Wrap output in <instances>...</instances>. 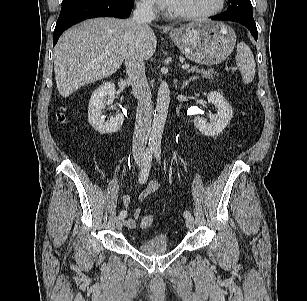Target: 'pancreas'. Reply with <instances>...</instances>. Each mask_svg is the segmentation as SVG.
<instances>
[{
	"instance_id": "cf45deb5",
	"label": "pancreas",
	"mask_w": 307,
	"mask_h": 301,
	"mask_svg": "<svg viewBox=\"0 0 307 301\" xmlns=\"http://www.w3.org/2000/svg\"><path fill=\"white\" fill-rule=\"evenodd\" d=\"M190 73H199L202 75V77H205L207 79H213L215 75H218L216 72H214L212 69L210 70H204L199 69L197 66H194L188 70Z\"/></svg>"
}]
</instances>
